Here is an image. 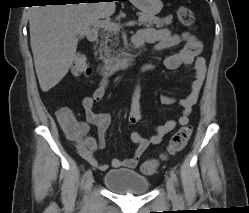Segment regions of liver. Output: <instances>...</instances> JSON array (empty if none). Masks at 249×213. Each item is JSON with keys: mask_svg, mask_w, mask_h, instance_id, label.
Wrapping results in <instances>:
<instances>
[{"mask_svg": "<svg viewBox=\"0 0 249 213\" xmlns=\"http://www.w3.org/2000/svg\"><path fill=\"white\" fill-rule=\"evenodd\" d=\"M114 2L33 6L30 10V43L40 88L56 86L68 73L79 39L94 21L110 17Z\"/></svg>", "mask_w": 249, "mask_h": 213, "instance_id": "6515ba94", "label": "liver"}]
</instances>
